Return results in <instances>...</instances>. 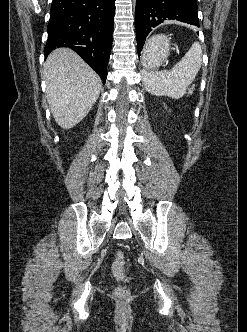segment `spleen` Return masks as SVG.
<instances>
[{"instance_id":"obj_1","label":"spleen","mask_w":247,"mask_h":332,"mask_svg":"<svg viewBox=\"0 0 247 332\" xmlns=\"http://www.w3.org/2000/svg\"><path fill=\"white\" fill-rule=\"evenodd\" d=\"M202 64V50L198 42L192 44L184 57L171 70L144 72L145 89L156 96L180 99L194 81Z\"/></svg>"}]
</instances>
